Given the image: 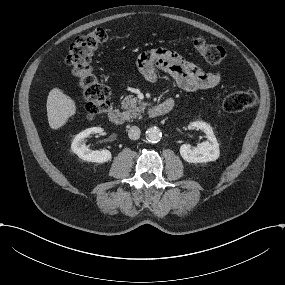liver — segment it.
Returning a JSON list of instances; mask_svg holds the SVG:
<instances>
[{
  "mask_svg": "<svg viewBox=\"0 0 285 285\" xmlns=\"http://www.w3.org/2000/svg\"><path fill=\"white\" fill-rule=\"evenodd\" d=\"M46 109L49 127L56 131L66 126L70 118L76 115L77 104L70 95L55 86L48 94Z\"/></svg>",
  "mask_w": 285,
  "mask_h": 285,
  "instance_id": "liver-1",
  "label": "liver"
}]
</instances>
